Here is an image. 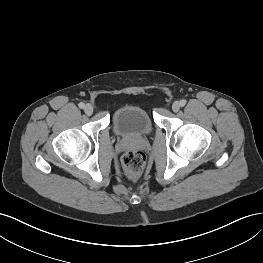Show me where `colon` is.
I'll list each match as a JSON object with an SVG mask.
<instances>
[{
	"mask_svg": "<svg viewBox=\"0 0 263 263\" xmlns=\"http://www.w3.org/2000/svg\"><path fill=\"white\" fill-rule=\"evenodd\" d=\"M123 169L131 180L138 179L146 167V156L138 150H129L122 157Z\"/></svg>",
	"mask_w": 263,
	"mask_h": 263,
	"instance_id": "1",
	"label": "colon"
}]
</instances>
